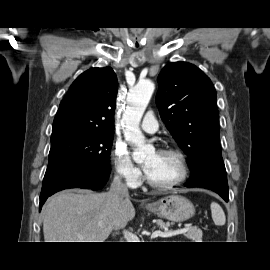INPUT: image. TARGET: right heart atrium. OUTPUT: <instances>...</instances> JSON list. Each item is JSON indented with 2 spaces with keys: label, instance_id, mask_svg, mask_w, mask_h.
I'll return each instance as SVG.
<instances>
[{
  "label": "right heart atrium",
  "instance_id": "d8ad5b80",
  "mask_svg": "<svg viewBox=\"0 0 270 270\" xmlns=\"http://www.w3.org/2000/svg\"><path fill=\"white\" fill-rule=\"evenodd\" d=\"M114 173L130 186H136L141 180V172L133 163L126 146L115 143L111 151Z\"/></svg>",
  "mask_w": 270,
  "mask_h": 270
}]
</instances>
